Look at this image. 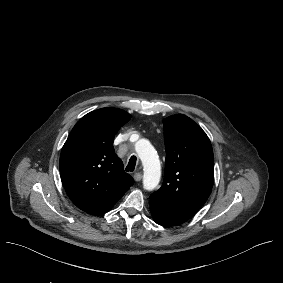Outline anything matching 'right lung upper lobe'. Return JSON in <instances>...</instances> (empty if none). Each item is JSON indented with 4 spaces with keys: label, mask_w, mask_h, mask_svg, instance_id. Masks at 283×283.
<instances>
[{
    "label": "right lung upper lobe",
    "mask_w": 283,
    "mask_h": 283,
    "mask_svg": "<svg viewBox=\"0 0 283 283\" xmlns=\"http://www.w3.org/2000/svg\"><path fill=\"white\" fill-rule=\"evenodd\" d=\"M130 118L117 108L90 112L77 122L62 148V184L72 202L87 213L110 211L134 184L113 147L115 134Z\"/></svg>",
    "instance_id": "obj_1"
}]
</instances>
